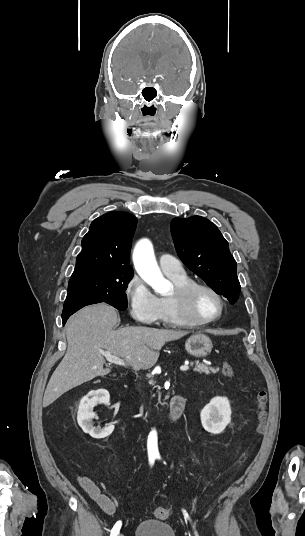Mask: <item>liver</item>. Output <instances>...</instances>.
Masks as SVG:
<instances>
[{"instance_id":"liver-1","label":"liver","mask_w":305,"mask_h":536,"mask_svg":"<svg viewBox=\"0 0 305 536\" xmlns=\"http://www.w3.org/2000/svg\"><path fill=\"white\" fill-rule=\"evenodd\" d=\"M116 310L107 304L87 306L70 318L66 326L67 352L48 382L43 408L53 404L62 394L89 382L97 376H107L110 368H103L104 356L112 354L124 358L133 370H149L159 358V350L166 342L179 340L189 332L156 330V328H120Z\"/></svg>"}]
</instances>
